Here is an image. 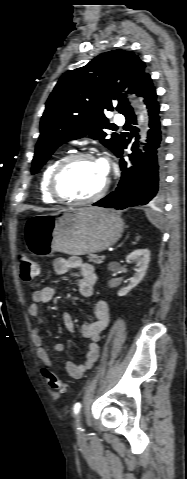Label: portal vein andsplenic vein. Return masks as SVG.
Masks as SVG:
<instances>
[{"instance_id":"1","label":"portal vein and splenic vein","mask_w":187,"mask_h":479,"mask_svg":"<svg viewBox=\"0 0 187 479\" xmlns=\"http://www.w3.org/2000/svg\"><path fill=\"white\" fill-rule=\"evenodd\" d=\"M109 251H111V249H110ZM101 258H102V259H105V255L101 256Z\"/></svg>"}]
</instances>
